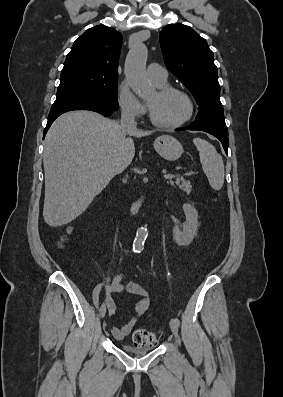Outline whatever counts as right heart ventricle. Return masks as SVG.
Here are the masks:
<instances>
[{
    "label": "right heart ventricle",
    "instance_id": "1",
    "mask_svg": "<svg viewBox=\"0 0 283 397\" xmlns=\"http://www.w3.org/2000/svg\"><path fill=\"white\" fill-rule=\"evenodd\" d=\"M153 83H154L158 88L163 87V86H166V81H165V82H162V83H158V82H154V81H153Z\"/></svg>",
    "mask_w": 283,
    "mask_h": 397
}]
</instances>
